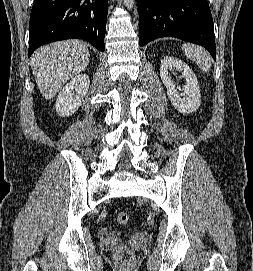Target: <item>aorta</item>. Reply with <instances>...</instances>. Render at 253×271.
Instances as JSON below:
<instances>
[{
    "instance_id": "obj_1",
    "label": "aorta",
    "mask_w": 253,
    "mask_h": 271,
    "mask_svg": "<svg viewBox=\"0 0 253 271\" xmlns=\"http://www.w3.org/2000/svg\"><path fill=\"white\" fill-rule=\"evenodd\" d=\"M123 3L128 10H131L134 6V0H123Z\"/></svg>"
}]
</instances>
